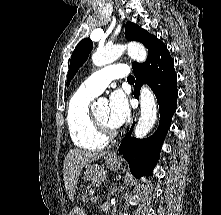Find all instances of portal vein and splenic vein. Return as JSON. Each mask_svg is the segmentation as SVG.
<instances>
[{
	"label": "portal vein and splenic vein",
	"mask_w": 221,
	"mask_h": 215,
	"mask_svg": "<svg viewBox=\"0 0 221 215\" xmlns=\"http://www.w3.org/2000/svg\"><path fill=\"white\" fill-rule=\"evenodd\" d=\"M92 199H93V200H97L98 198H97V197H92Z\"/></svg>",
	"instance_id": "portal-vein-and-splenic-vein-1"
}]
</instances>
